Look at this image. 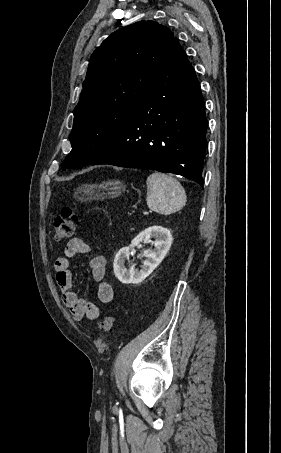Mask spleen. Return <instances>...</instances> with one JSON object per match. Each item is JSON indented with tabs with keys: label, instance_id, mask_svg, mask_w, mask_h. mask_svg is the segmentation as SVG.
I'll list each match as a JSON object with an SVG mask.
<instances>
[{
	"label": "spleen",
	"instance_id": "1",
	"mask_svg": "<svg viewBox=\"0 0 281 453\" xmlns=\"http://www.w3.org/2000/svg\"><path fill=\"white\" fill-rule=\"evenodd\" d=\"M182 190L183 186L173 176L152 172L147 178V204L159 214L177 212L186 202V194H182Z\"/></svg>",
	"mask_w": 281,
	"mask_h": 453
}]
</instances>
